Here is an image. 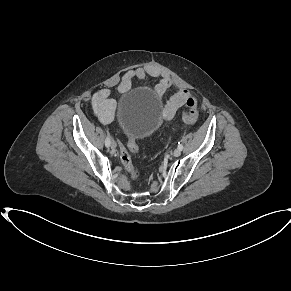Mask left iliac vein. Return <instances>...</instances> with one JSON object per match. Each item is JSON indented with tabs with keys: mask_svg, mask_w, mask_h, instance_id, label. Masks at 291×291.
<instances>
[{
	"mask_svg": "<svg viewBox=\"0 0 291 291\" xmlns=\"http://www.w3.org/2000/svg\"><path fill=\"white\" fill-rule=\"evenodd\" d=\"M181 154V150L179 148L175 149L173 152V156L178 157Z\"/></svg>",
	"mask_w": 291,
	"mask_h": 291,
	"instance_id": "4c4485c4",
	"label": "left iliac vein"
}]
</instances>
